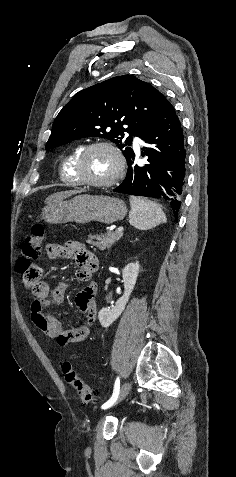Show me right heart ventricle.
Here are the masks:
<instances>
[{
    "instance_id": "obj_1",
    "label": "right heart ventricle",
    "mask_w": 236,
    "mask_h": 477,
    "mask_svg": "<svg viewBox=\"0 0 236 477\" xmlns=\"http://www.w3.org/2000/svg\"><path fill=\"white\" fill-rule=\"evenodd\" d=\"M82 150V146L72 148L62 159L59 167L60 179L69 185H79V181L74 173V162Z\"/></svg>"
}]
</instances>
